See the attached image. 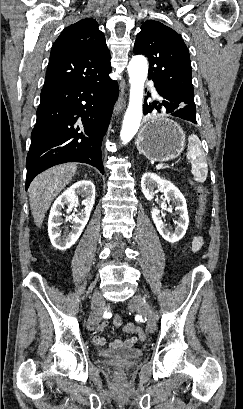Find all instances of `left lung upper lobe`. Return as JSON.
<instances>
[{
	"mask_svg": "<svg viewBox=\"0 0 243 409\" xmlns=\"http://www.w3.org/2000/svg\"><path fill=\"white\" fill-rule=\"evenodd\" d=\"M134 53L148 58V79L194 100L189 51L173 29L155 20L146 21L136 36Z\"/></svg>",
	"mask_w": 243,
	"mask_h": 409,
	"instance_id": "1",
	"label": "left lung upper lobe"
}]
</instances>
